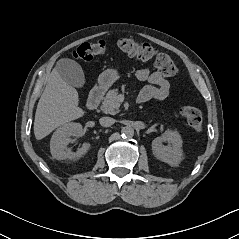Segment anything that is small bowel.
Segmentation results:
<instances>
[{"label": "small bowel", "instance_id": "c3829d8e", "mask_svg": "<svg viewBox=\"0 0 239 239\" xmlns=\"http://www.w3.org/2000/svg\"><path fill=\"white\" fill-rule=\"evenodd\" d=\"M135 76L140 81H147L148 84L140 91L139 102H146L150 99L164 100L170 93V83L158 71L148 68H141L135 72Z\"/></svg>", "mask_w": 239, "mask_h": 239}]
</instances>
